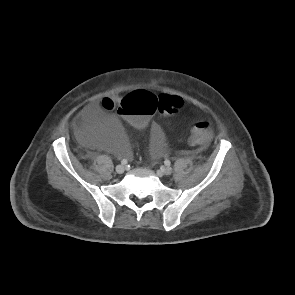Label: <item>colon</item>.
I'll list each match as a JSON object with an SVG mask.
<instances>
[{"instance_id":"5ec220e1","label":"colon","mask_w":295,"mask_h":295,"mask_svg":"<svg viewBox=\"0 0 295 295\" xmlns=\"http://www.w3.org/2000/svg\"><path fill=\"white\" fill-rule=\"evenodd\" d=\"M183 100L177 96L154 95L147 91H135L125 97L117 99H103L102 106L106 109H117L125 123L137 130L145 129L152 120L155 112L172 114L180 110ZM212 137L211 125L202 120L194 122L190 141L192 144L202 146Z\"/></svg>"}]
</instances>
